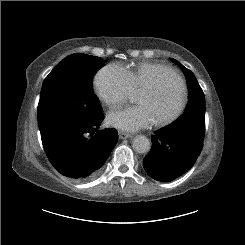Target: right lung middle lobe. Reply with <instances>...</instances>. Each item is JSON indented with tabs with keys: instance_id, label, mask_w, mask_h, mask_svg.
Wrapping results in <instances>:
<instances>
[{
	"instance_id": "dd1d6c3e",
	"label": "right lung middle lobe",
	"mask_w": 245,
	"mask_h": 245,
	"mask_svg": "<svg viewBox=\"0 0 245 245\" xmlns=\"http://www.w3.org/2000/svg\"><path fill=\"white\" fill-rule=\"evenodd\" d=\"M102 65L99 57L76 53L45 78L38 104L41 137L61 127L84 125L103 113L91 88L93 75Z\"/></svg>"
}]
</instances>
